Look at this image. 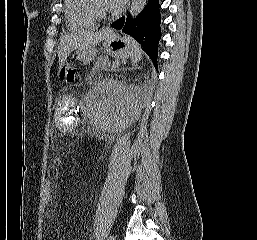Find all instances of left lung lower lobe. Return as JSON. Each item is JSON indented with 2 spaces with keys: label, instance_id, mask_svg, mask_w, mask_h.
<instances>
[{
  "label": "left lung lower lobe",
  "instance_id": "1",
  "mask_svg": "<svg viewBox=\"0 0 257 240\" xmlns=\"http://www.w3.org/2000/svg\"><path fill=\"white\" fill-rule=\"evenodd\" d=\"M161 16L159 13L158 0H148L146 7L139 16L132 18L122 16L111 24L115 29H122L123 32L132 36L150 57L157 67L158 43L161 38Z\"/></svg>",
  "mask_w": 257,
  "mask_h": 240
}]
</instances>
